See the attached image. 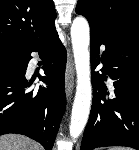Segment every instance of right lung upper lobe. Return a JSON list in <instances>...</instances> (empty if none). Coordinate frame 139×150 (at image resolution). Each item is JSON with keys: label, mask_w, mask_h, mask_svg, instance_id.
<instances>
[{"label": "right lung upper lobe", "mask_w": 139, "mask_h": 150, "mask_svg": "<svg viewBox=\"0 0 139 150\" xmlns=\"http://www.w3.org/2000/svg\"><path fill=\"white\" fill-rule=\"evenodd\" d=\"M53 0H0V45L24 50L54 27Z\"/></svg>", "instance_id": "cb5924a9"}]
</instances>
